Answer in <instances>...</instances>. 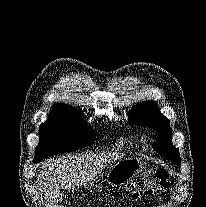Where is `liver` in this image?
I'll return each mask as SVG.
<instances>
[{"label": "liver", "instance_id": "6515ba94", "mask_svg": "<svg viewBox=\"0 0 206 207\" xmlns=\"http://www.w3.org/2000/svg\"><path fill=\"white\" fill-rule=\"evenodd\" d=\"M118 157L117 154L99 156L81 154L58 157L44 162L37 176L44 199L51 204L57 203L62 197L61 188L72 189L86 185L107 164Z\"/></svg>", "mask_w": 206, "mask_h": 207}]
</instances>
